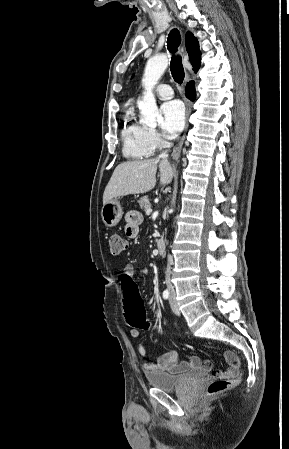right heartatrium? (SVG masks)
Here are the masks:
<instances>
[{
	"instance_id": "right-heart-atrium-1",
	"label": "right heart atrium",
	"mask_w": 289,
	"mask_h": 449,
	"mask_svg": "<svg viewBox=\"0 0 289 449\" xmlns=\"http://www.w3.org/2000/svg\"><path fill=\"white\" fill-rule=\"evenodd\" d=\"M146 138L153 149L162 144L159 133L154 129L146 128Z\"/></svg>"
}]
</instances>
